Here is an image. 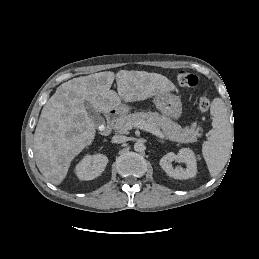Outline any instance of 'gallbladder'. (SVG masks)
Wrapping results in <instances>:
<instances>
[{"label": "gallbladder", "mask_w": 259, "mask_h": 259, "mask_svg": "<svg viewBox=\"0 0 259 259\" xmlns=\"http://www.w3.org/2000/svg\"><path fill=\"white\" fill-rule=\"evenodd\" d=\"M85 105H86V109H87V111H88L90 117H91V118L93 119V121L95 122V125H96V126H99V125L103 124V123H104L103 117H102L99 113H97V112L94 110V108H93L89 103L86 102Z\"/></svg>", "instance_id": "1"}]
</instances>
